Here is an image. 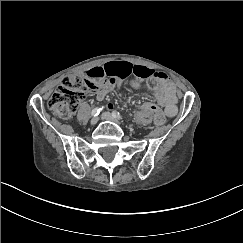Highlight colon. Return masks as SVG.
I'll use <instances>...</instances> for the list:
<instances>
[{
    "instance_id": "5ec220e1",
    "label": "colon",
    "mask_w": 243,
    "mask_h": 243,
    "mask_svg": "<svg viewBox=\"0 0 243 243\" xmlns=\"http://www.w3.org/2000/svg\"><path fill=\"white\" fill-rule=\"evenodd\" d=\"M99 79V74L87 77L79 75L67 76L50 97L48 101L49 109L62 119L70 118L75 113L80 102L85 98L86 92L96 89V82ZM135 86L139 85L136 84ZM160 86L161 82L156 79L152 80L148 85L152 90H157ZM142 110L152 114L155 125L162 126L165 124V116L158 106L152 103H145L142 106Z\"/></svg>"
}]
</instances>
